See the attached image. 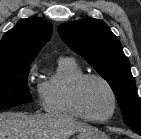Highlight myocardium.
<instances>
[{"label":"myocardium","instance_id":"f54148a6","mask_svg":"<svg viewBox=\"0 0 141 139\" xmlns=\"http://www.w3.org/2000/svg\"><path fill=\"white\" fill-rule=\"evenodd\" d=\"M90 79L99 80L107 87V89L110 92V95L112 98V109H111L110 113L104 118H94V117L90 116L86 112V110L83 106L82 97H81L82 88H83V85L85 84V82ZM71 97H72L74 107L76 108L78 113L81 115V117L88 120V121L94 122V123H104V122L109 121L114 116L116 109H117V104H118L117 95H116V92H115L113 86L105 77H103L102 75H99V74L87 73V74H83L82 76H80L74 82V84L72 86Z\"/></svg>","mask_w":141,"mask_h":139}]
</instances>
